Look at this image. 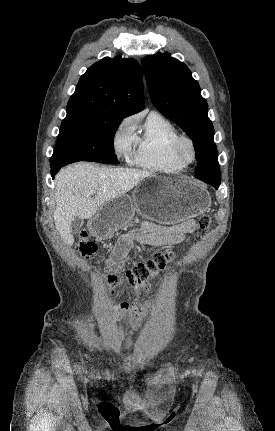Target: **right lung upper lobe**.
I'll use <instances>...</instances> for the list:
<instances>
[{"instance_id":"obj_1","label":"right lung upper lobe","mask_w":275,"mask_h":431,"mask_svg":"<svg viewBox=\"0 0 275 431\" xmlns=\"http://www.w3.org/2000/svg\"><path fill=\"white\" fill-rule=\"evenodd\" d=\"M145 108L141 67L132 58L106 57L80 77L67 104V116L127 117Z\"/></svg>"}]
</instances>
